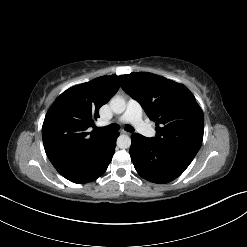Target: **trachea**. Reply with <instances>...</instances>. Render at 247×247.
<instances>
[{
    "mask_svg": "<svg viewBox=\"0 0 247 247\" xmlns=\"http://www.w3.org/2000/svg\"><path fill=\"white\" fill-rule=\"evenodd\" d=\"M119 129H120V126L118 124H112V125L107 126V127L99 128V130L103 131V132H114V131H117ZM124 129L128 132H134V128L131 125H126Z\"/></svg>",
    "mask_w": 247,
    "mask_h": 247,
    "instance_id": "3493384b",
    "label": "trachea"
}]
</instances>
